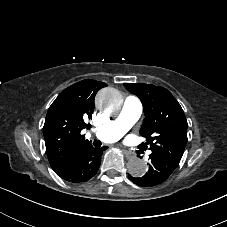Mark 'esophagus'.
I'll use <instances>...</instances> for the list:
<instances>
[{
    "label": "esophagus",
    "instance_id": "esophagus-1",
    "mask_svg": "<svg viewBox=\"0 0 227 227\" xmlns=\"http://www.w3.org/2000/svg\"><path fill=\"white\" fill-rule=\"evenodd\" d=\"M124 155L126 156L127 159H131L134 158L136 156V154L134 152L131 151H127V150H123Z\"/></svg>",
    "mask_w": 227,
    "mask_h": 227
}]
</instances>
